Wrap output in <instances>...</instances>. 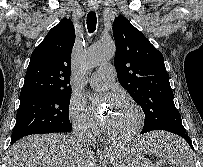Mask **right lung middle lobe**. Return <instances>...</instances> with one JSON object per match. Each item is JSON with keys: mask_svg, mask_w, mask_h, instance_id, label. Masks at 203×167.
Returning <instances> with one entry per match:
<instances>
[{"mask_svg": "<svg viewBox=\"0 0 203 167\" xmlns=\"http://www.w3.org/2000/svg\"><path fill=\"white\" fill-rule=\"evenodd\" d=\"M70 98L71 92H60L20 101L11 141L31 134L71 131Z\"/></svg>", "mask_w": 203, "mask_h": 167, "instance_id": "obj_1", "label": "right lung middle lobe"}]
</instances>
